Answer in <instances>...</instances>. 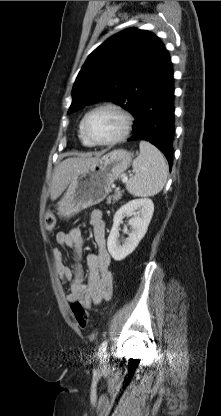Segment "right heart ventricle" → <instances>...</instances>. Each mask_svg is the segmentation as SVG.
I'll use <instances>...</instances> for the list:
<instances>
[{
	"label": "right heart ventricle",
	"instance_id": "obj_1",
	"mask_svg": "<svg viewBox=\"0 0 221 416\" xmlns=\"http://www.w3.org/2000/svg\"><path fill=\"white\" fill-rule=\"evenodd\" d=\"M79 137H80V140H81V142L84 144V145H86V146H91V144L82 136V134H81V131H80V134H79Z\"/></svg>",
	"mask_w": 221,
	"mask_h": 416
}]
</instances>
